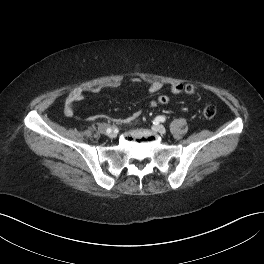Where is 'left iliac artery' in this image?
Returning a JSON list of instances; mask_svg holds the SVG:
<instances>
[{"label":"left iliac artery","mask_w":264,"mask_h":264,"mask_svg":"<svg viewBox=\"0 0 264 264\" xmlns=\"http://www.w3.org/2000/svg\"><path fill=\"white\" fill-rule=\"evenodd\" d=\"M156 121H157V122H165L166 119H165L164 116H158V117H156Z\"/></svg>","instance_id":"obj_1"}]
</instances>
